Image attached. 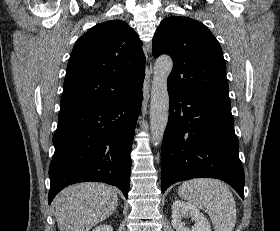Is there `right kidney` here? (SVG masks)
<instances>
[{
  "mask_svg": "<svg viewBox=\"0 0 280 231\" xmlns=\"http://www.w3.org/2000/svg\"><path fill=\"white\" fill-rule=\"evenodd\" d=\"M92 231H113L112 225H106V223H102V225H98V227H95V229H92Z\"/></svg>",
  "mask_w": 280,
  "mask_h": 231,
  "instance_id": "ca27d5eb",
  "label": "right kidney"
}]
</instances>
